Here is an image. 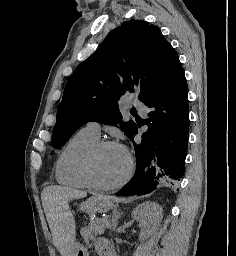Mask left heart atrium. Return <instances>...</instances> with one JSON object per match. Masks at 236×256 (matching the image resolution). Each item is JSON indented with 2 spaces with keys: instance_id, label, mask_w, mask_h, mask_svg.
Returning a JSON list of instances; mask_svg holds the SVG:
<instances>
[{
  "instance_id": "left-heart-atrium-1",
  "label": "left heart atrium",
  "mask_w": 236,
  "mask_h": 256,
  "mask_svg": "<svg viewBox=\"0 0 236 256\" xmlns=\"http://www.w3.org/2000/svg\"><path fill=\"white\" fill-rule=\"evenodd\" d=\"M117 147H118L121 151H123V152L126 153V148H125V146H124L123 144H118Z\"/></svg>"
}]
</instances>
